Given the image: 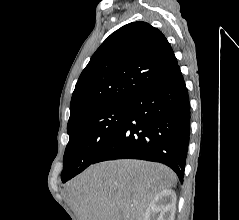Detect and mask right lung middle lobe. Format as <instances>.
Listing matches in <instances>:
<instances>
[{"instance_id":"dd1d6c3e","label":"right lung middle lobe","mask_w":239,"mask_h":220,"mask_svg":"<svg viewBox=\"0 0 239 220\" xmlns=\"http://www.w3.org/2000/svg\"><path fill=\"white\" fill-rule=\"evenodd\" d=\"M128 103L88 113L67 127L69 142L61 174L63 183L90 164L116 133L127 116Z\"/></svg>"}]
</instances>
